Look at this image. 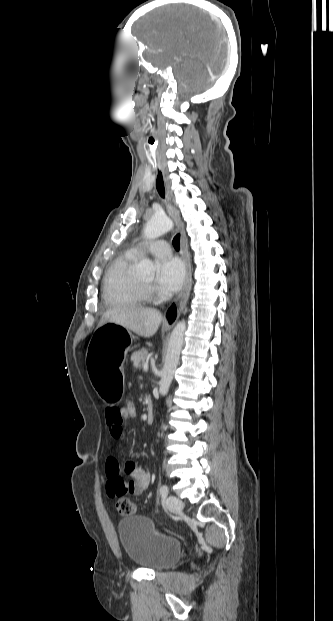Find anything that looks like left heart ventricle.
Listing matches in <instances>:
<instances>
[{
  "label": "left heart ventricle",
  "mask_w": 333,
  "mask_h": 621,
  "mask_svg": "<svg viewBox=\"0 0 333 621\" xmlns=\"http://www.w3.org/2000/svg\"><path fill=\"white\" fill-rule=\"evenodd\" d=\"M143 282L149 285L152 282V279L144 280Z\"/></svg>",
  "instance_id": "obj_1"
}]
</instances>
